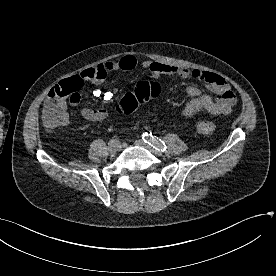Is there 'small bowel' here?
I'll return each instance as SVG.
<instances>
[{"instance_id":"small-bowel-1","label":"small bowel","mask_w":276,"mask_h":276,"mask_svg":"<svg viewBox=\"0 0 276 276\" xmlns=\"http://www.w3.org/2000/svg\"><path fill=\"white\" fill-rule=\"evenodd\" d=\"M150 72L153 78H160L161 76H169L172 78H192L205 83L206 87L214 93V96L203 93L195 86H188L186 93L190 100L182 109V116L191 118L201 111H205L211 115H227L232 112L236 103V96L231 89L229 83L220 75L203 71L199 69H188L184 67H177L169 64L153 62L151 60H144L139 62L134 55H126L117 61H107L99 63L95 66L83 70L75 78H79L84 82H90L94 85L102 84L105 79L119 71H130L137 66ZM94 98H100L103 101L112 99L111 92H104L100 89L92 91ZM74 107H79L81 115L89 121H102L107 118L108 111L105 108H90L81 106V95L78 99L69 100ZM50 98L47 97L44 102V109L49 107ZM66 107V104H63Z\"/></svg>"}]
</instances>
